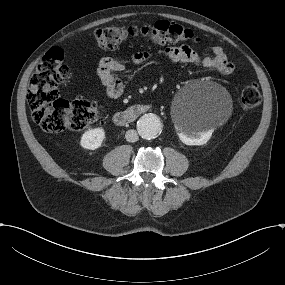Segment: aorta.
<instances>
[{"label":"aorta","mask_w":285,"mask_h":285,"mask_svg":"<svg viewBox=\"0 0 285 285\" xmlns=\"http://www.w3.org/2000/svg\"><path fill=\"white\" fill-rule=\"evenodd\" d=\"M137 130L143 139H154L161 131L160 120L154 114H145L138 120Z\"/></svg>","instance_id":"obj_1"}]
</instances>
